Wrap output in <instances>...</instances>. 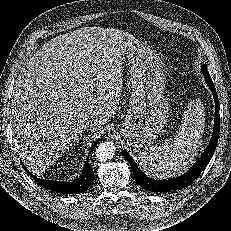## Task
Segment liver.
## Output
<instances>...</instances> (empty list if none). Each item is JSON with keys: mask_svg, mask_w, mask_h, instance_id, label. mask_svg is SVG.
I'll list each match as a JSON object with an SVG mask.
<instances>
[{"mask_svg": "<svg viewBox=\"0 0 231 231\" xmlns=\"http://www.w3.org/2000/svg\"><path fill=\"white\" fill-rule=\"evenodd\" d=\"M138 40L123 30L83 27L49 40L22 68L11 122L15 148L30 170H45L77 143L94 118L101 126L118 108L121 52Z\"/></svg>", "mask_w": 231, "mask_h": 231, "instance_id": "obj_1", "label": "liver"}]
</instances>
